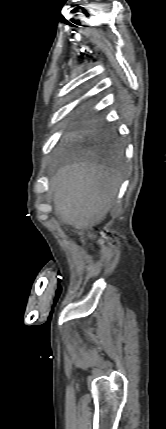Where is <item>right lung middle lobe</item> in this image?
Masks as SVG:
<instances>
[{
    "instance_id": "right-lung-middle-lobe-1",
    "label": "right lung middle lobe",
    "mask_w": 166,
    "mask_h": 429,
    "mask_svg": "<svg viewBox=\"0 0 166 429\" xmlns=\"http://www.w3.org/2000/svg\"><path fill=\"white\" fill-rule=\"evenodd\" d=\"M105 138H106V139H111V138H112V136H111V135H108V136H106Z\"/></svg>"
}]
</instances>
